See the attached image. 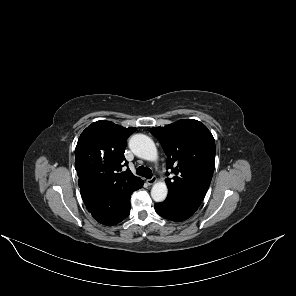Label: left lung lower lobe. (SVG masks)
Instances as JSON below:
<instances>
[{
  "label": "left lung lower lobe",
  "mask_w": 296,
  "mask_h": 296,
  "mask_svg": "<svg viewBox=\"0 0 296 296\" xmlns=\"http://www.w3.org/2000/svg\"><path fill=\"white\" fill-rule=\"evenodd\" d=\"M200 204L166 198L162 203L155 204V210L160 216L171 221H184L195 213Z\"/></svg>",
  "instance_id": "left-lung-lower-lobe-1"
}]
</instances>
